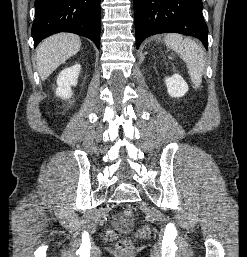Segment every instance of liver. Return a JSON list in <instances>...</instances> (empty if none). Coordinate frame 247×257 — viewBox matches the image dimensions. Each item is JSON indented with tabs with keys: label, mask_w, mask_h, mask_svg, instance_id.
I'll return each instance as SVG.
<instances>
[{
	"label": "liver",
	"mask_w": 247,
	"mask_h": 257,
	"mask_svg": "<svg viewBox=\"0 0 247 257\" xmlns=\"http://www.w3.org/2000/svg\"><path fill=\"white\" fill-rule=\"evenodd\" d=\"M81 48V40L71 33L55 34L45 39L37 49V70L42 80Z\"/></svg>",
	"instance_id": "6515ba94"
}]
</instances>
